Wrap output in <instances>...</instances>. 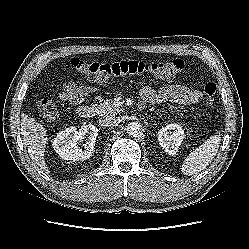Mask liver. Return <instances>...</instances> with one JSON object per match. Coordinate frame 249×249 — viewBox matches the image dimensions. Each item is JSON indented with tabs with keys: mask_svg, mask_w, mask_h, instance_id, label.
Here are the masks:
<instances>
[{
	"mask_svg": "<svg viewBox=\"0 0 249 249\" xmlns=\"http://www.w3.org/2000/svg\"><path fill=\"white\" fill-rule=\"evenodd\" d=\"M19 125L23 143L27 147L30 158L43 172L50 174L51 171L44 156L49 141L46 127L24 113L21 115Z\"/></svg>",
	"mask_w": 249,
	"mask_h": 249,
	"instance_id": "1",
	"label": "liver"
}]
</instances>
